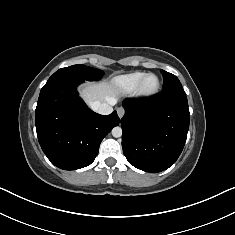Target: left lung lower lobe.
<instances>
[{
    "label": "left lung lower lobe",
    "instance_id": "1",
    "mask_svg": "<svg viewBox=\"0 0 235 235\" xmlns=\"http://www.w3.org/2000/svg\"><path fill=\"white\" fill-rule=\"evenodd\" d=\"M122 148L128 162L145 172L172 166L181 154L189 129L183 88L162 91L151 99L123 101Z\"/></svg>",
    "mask_w": 235,
    "mask_h": 235
}]
</instances>
